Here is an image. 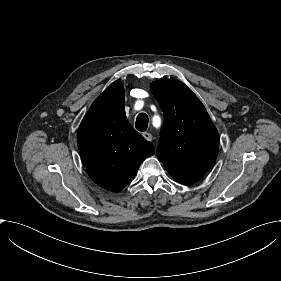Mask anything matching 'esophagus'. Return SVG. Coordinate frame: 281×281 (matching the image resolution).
I'll list each match as a JSON object with an SVG mask.
<instances>
[{"instance_id": "obj_1", "label": "esophagus", "mask_w": 281, "mask_h": 281, "mask_svg": "<svg viewBox=\"0 0 281 281\" xmlns=\"http://www.w3.org/2000/svg\"><path fill=\"white\" fill-rule=\"evenodd\" d=\"M142 136L146 139V140H148V141H151L152 140V135L150 134V133H148V132H143L142 133Z\"/></svg>"}]
</instances>
